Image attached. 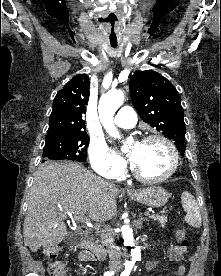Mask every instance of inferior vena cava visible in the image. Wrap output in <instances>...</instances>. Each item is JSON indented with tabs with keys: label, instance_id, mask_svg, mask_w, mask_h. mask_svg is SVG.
Here are the masks:
<instances>
[{
	"label": "inferior vena cava",
	"instance_id": "602c4592",
	"mask_svg": "<svg viewBox=\"0 0 221 276\" xmlns=\"http://www.w3.org/2000/svg\"><path fill=\"white\" fill-rule=\"evenodd\" d=\"M100 238L102 245L106 246L107 248V252L110 258V265L113 268L121 267V251L114 245V234L106 225H103V228L100 231Z\"/></svg>",
	"mask_w": 221,
	"mask_h": 276
}]
</instances>
